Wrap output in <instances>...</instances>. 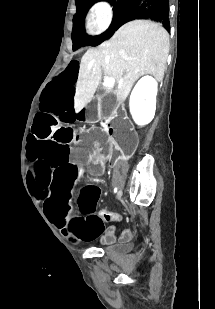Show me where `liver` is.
Segmentation results:
<instances>
[{"label": "liver", "instance_id": "obj_1", "mask_svg": "<svg viewBox=\"0 0 215 309\" xmlns=\"http://www.w3.org/2000/svg\"><path fill=\"white\" fill-rule=\"evenodd\" d=\"M168 52L169 34L160 22H126L109 40L83 54L74 96L76 112L91 102L102 74L115 78L117 100H125L143 74H153L161 82Z\"/></svg>", "mask_w": 215, "mask_h": 309}]
</instances>
